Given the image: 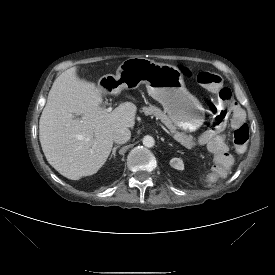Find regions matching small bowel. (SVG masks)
Segmentation results:
<instances>
[{
  "instance_id": "small-bowel-1",
  "label": "small bowel",
  "mask_w": 275,
  "mask_h": 275,
  "mask_svg": "<svg viewBox=\"0 0 275 275\" xmlns=\"http://www.w3.org/2000/svg\"><path fill=\"white\" fill-rule=\"evenodd\" d=\"M230 124L234 130L246 125L245 112L239 106H235ZM198 142L201 147L208 150L210 155L214 156V164L208 167L205 172L207 181L212 184L221 182L228 174L227 168H230L234 161L232 155L225 152L228 147L227 138L219 135L216 131L205 130L200 133Z\"/></svg>"
}]
</instances>
